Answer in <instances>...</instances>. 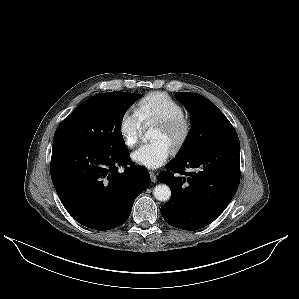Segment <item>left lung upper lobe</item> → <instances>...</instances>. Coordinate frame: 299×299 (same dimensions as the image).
I'll return each instance as SVG.
<instances>
[{"label":"left lung upper lobe","mask_w":299,"mask_h":299,"mask_svg":"<svg viewBox=\"0 0 299 299\" xmlns=\"http://www.w3.org/2000/svg\"><path fill=\"white\" fill-rule=\"evenodd\" d=\"M176 97L191 117V130L176 159L197 156L210 146L237 135L229 120L210 100L190 92H178Z\"/></svg>","instance_id":"1"}]
</instances>
